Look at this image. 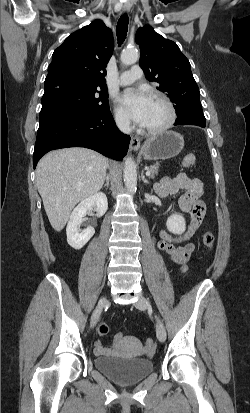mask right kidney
<instances>
[{"label":"right kidney","mask_w":250,"mask_h":413,"mask_svg":"<svg viewBox=\"0 0 250 413\" xmlns=\"http://www.w3.org/2000/svg\"><path fill=\"white\" fill-rule=\"evenodd\" d=\"M93 208H96L97 217H101L106 213L108 201L104 193L99 192L89 196L82 200L72 211L67 224L66 234L68 244L74 249H81L95 233L94 228L91 226H88L82 232L79 229L83 217Z\"/></svg>","instance_id":"right-kidney-1"}]
</instances>
